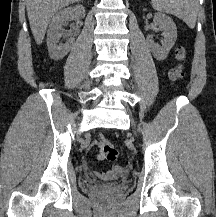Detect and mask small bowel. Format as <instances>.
I'll return each instance as SVG.
<instances>
[{"label":"small bowel","mask_w":216,"mask_h":217,"mask_svg":"<svg viewBox=\"0 0 216 217\" xmlns=\"http://www.w3.org/2000/svg\"><path fill=\"white\" fill-rule=\"evenodd\" d=\"M96 147V144H93L90 147V150L94 149ZM122 171V169L120 167H114L108 171H99V170H94L93 174L101 179L104 180H111L114 179L120 172Z\"/></svg>","instance_id":"1"}]
</instances>
